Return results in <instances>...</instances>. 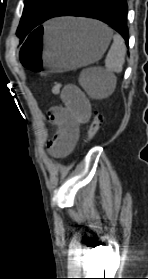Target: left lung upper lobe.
I'll use <instances>...</instances> for the list:
<instances>
[{"label":"left lung upper lobe","mask_w":148,"mask_h":279,"mask_svg":"<svg viewBox=\"0 0 148 279\" xmlns=\"http://www.w3.org/2000/svg\"><path fill=\"white\" fill-rule=\"evenodd\" d=\"M67 0H24V10L17 29L21 41L48 20Z\"/></svg>","instance_id":"obj_1"}]
</instances>
